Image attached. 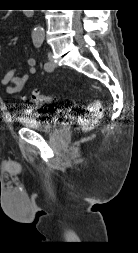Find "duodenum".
Wrapping results in <instances>:
<instances>
[{
    "mask_svg": "<svg viewBox=\"0 0 138 253\" xmlns=\"http://www.w3.org/2000/svg\"><path fill=\"white\" fill-rule=\"evenodd\" d=\"M27 14H28L29 16H31V15L33 14V12H32V11H28Z\"/></svg>",
    "mask_w": 138,
    "mask_h": 253,
    "instance_id": "1",
    "label": "duodenum"
}]
</instances>
